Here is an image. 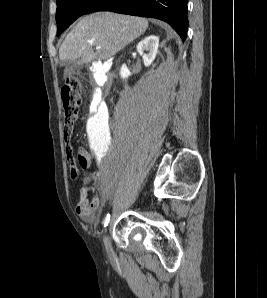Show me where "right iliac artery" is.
I'll return each mask as SVG.
<instances>
[{
  "instance_id": "1",
  "label": "right iliac artery",
  "mask_w": 267,
  "mask_h": 298,
  "mask_svg": "<svg viewBox=\"0 0 267 298\" xmlns=\"http://www.w3.org/2000/svg\"><path fill=\"white\" fill-rule=\"evenodd\" d=\"M109 220H110V214H107L105 219L103 220L104 227H106L108 225Z\"/></svg>"
}]
</instances>
